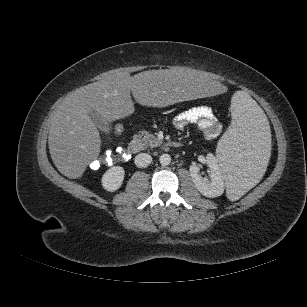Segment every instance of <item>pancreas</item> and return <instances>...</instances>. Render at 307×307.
Here are the masks:
<instances>
[{
    "label": "pancreas",
    "mask_w": 307,
    "mask_h": 307,
    "mask_svg": "<svg viewBox=\"0 0 307 307\" xmlns=\"http://www.w3.org/2000/svg\"><path fill=\"white\" fill-rule=\"evenodd\" d=\"M161 143L162 142L156 136L147 131H142L138 135H135L131 142V144L138 145L140 150H144L148 147H157L161 145Z\"/></svg>",
    "instance_id": "1"
}]
</instances>
